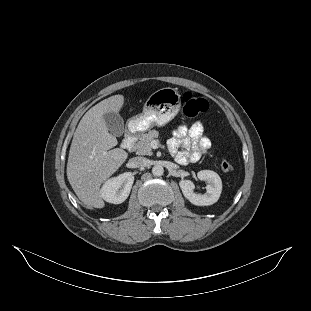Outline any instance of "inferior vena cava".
<instances>
[{
	"label": "inferior vena cava",
	"mask_w": 311,
	"mask_h": 311,
	"mask_svg": "<svg viewBox=\"0 0 311 311\" xmlns=\"http://www.w3.org/2000/svg\"><path fill=\"white\" fill-rule=\"evenodd\" d=\"M128 164L132 167V168H140V167H146L148 165V159L144 158V157H133L129 160Z\"/></svg>",
	"instance_id": "obj_1"
}]
</instances>
